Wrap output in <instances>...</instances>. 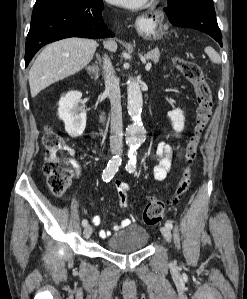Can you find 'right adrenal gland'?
Instances as JSON below:
<instances>
[{"label": "right adrenal gland", "mask_w": 247, "mask_h": 299, "mask_svg": "<svg viewBox=\"0 0 247 299\" xmlns=\"http://www.w3.org/2000/svg\"><path fill=\"white\" fill-rule=\"evenodd\" d=\"M96 61L94 64L90 65L88 68L90 70V72H92V74L95 76V77H98L99 74H100V68L99 66L101 65V59H100V56L98 53H96Z\"/></svg>", "instance_id": "2a0ac1e0"}]
</instances>
